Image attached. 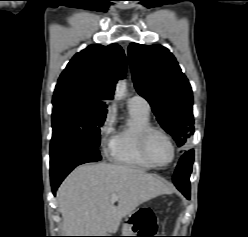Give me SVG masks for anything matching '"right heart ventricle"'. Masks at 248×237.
Listing matches in <instances>:
<instances>
[{"label":"right heart ventricle","instance_id":"obj_1","mask_svg":"<svg viewBox=\"0 0 248 237\" xmlns=\"http://www.w3.org/2000/svg\"><path fill=\"white\" fill-rule=\"evenodd\" d=\"M129 120L115 132L111 152L113 162L144 170L153 167L144 159L139 148L140 132L151 126L149 111L129 106Z\"/></svg>","mask_w":248,"mask_h":237}]
</instances>
